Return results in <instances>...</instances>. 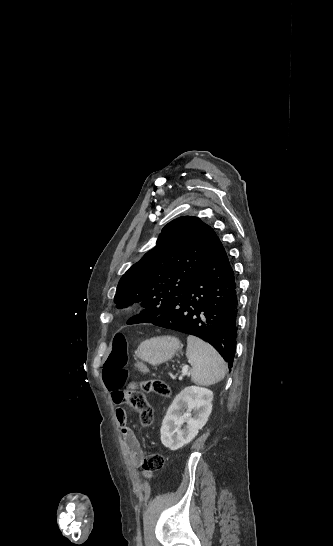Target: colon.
Wrapping results in <instances>:
<instances>
[{"instance_id":"1","label":"colon","mask_w":333,"mask_h":546,"mask_svg":"<svg viewBox=\"0 0 333 546\" xmlns=\"http://www.w3.org/2000/svg\"><path fill=\"white\" fill-rule=\"evenodd\" d=\"M128 343L124 334L115 335L110 353L105 361L102 377L105 386L109 391L122 390V400L130 405L138 414L141 423L150 426L153 423V412L150 409L146 398L137 391L140 388L146 393L156 394L162 397L170 395L169 386L157 379L144 380L124 389L128 377ZM165 458L159 451L149 453L143 460L142 466L146 471H158L164 467Z\"/></svg>"}]
</instances>
